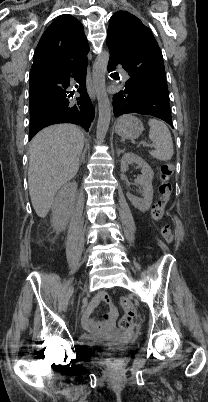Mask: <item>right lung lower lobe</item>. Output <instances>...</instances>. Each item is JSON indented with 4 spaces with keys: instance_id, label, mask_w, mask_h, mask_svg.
Segmentation results:
<instances>
[{
    "instance_id": "right-lung-lower-lobe-1",
    "label": "right lung lower lobe",
    "mask_w": 208,
    "mask_h": 402,
    "mask_svg": "<svg viewBox=\"0 0 208 402\" xmlns=\"http://www.w3.org/2000/svg\"><path fill=\"white\" fill-rule=\"evenodd\" d=\"M77 57L66 70L43 71L30 74V99H38V109L30 111V138L41 129L58 123H72L89 130L95 110L87 94V53ZM80 84V97L75 103L69 100V80ZM40 94L42 96H35Z\"/></svg>"
}]
</instances>
